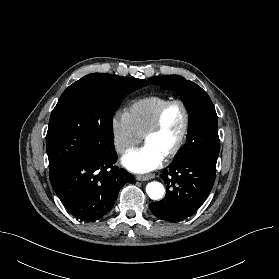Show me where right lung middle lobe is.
I'll use <instances>...</instances> for the list:
<instances>
[{
  "label": "right lung middle lobe",
  "instance_id": "right-lung-middle-lobe-1",
  "mask_svg": "<svg viewBox=\"0 0 279 279\" xmlns=\"http://www.w3.org/2000/svg\"><path fill=\"white\" fill-rule=\"evenodd\" d=\"M146 80L94 73L69 86L52 111L46 136L49 177L84 156L114 149L112 116L121 101Z\"/></svg>",
  "mask_w": 279,
  "mask_h": 279
}]
</instances>
